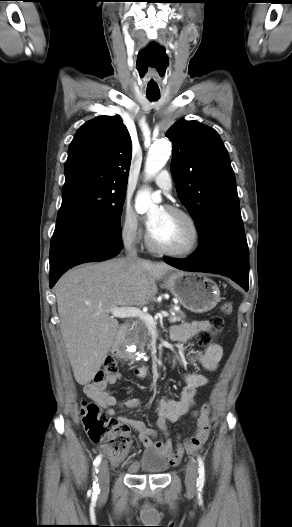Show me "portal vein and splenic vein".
I'll return each instance as SVG.
<instances>
[{"mask_svg":"<svg viewBox=\"0 0 292 527\" xmlns=\"http://www.w3.org/2000/svg\"><path fill=\"white\" fill-rule=\"evenodd\" d=\"M113 317L117 318H139L143 321L146 326L156 325V320L168 317L169 314L165 311L157 313L155 317H152L149 313H145L136 307H113L109 310Z\"/></svg>","mask_w":292,"mask_h":527,"instance_id":"obj_1","label":"portal vein and splenic vein"}]
</instances>
